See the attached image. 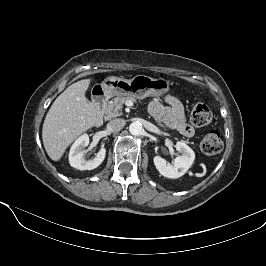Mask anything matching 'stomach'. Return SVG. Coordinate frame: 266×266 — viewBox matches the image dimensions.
<instances>
[{"instance_id": "stomach-1", "label": "stomach", "mask_w": 266, "mask_h": 266, "mask_svg": "<svg viewBox=\"0 0 266 266\" xmlns=\"http://www.w3.org/2000/svg\"><path fill=\"white\" fill-rule=\"evenodd\" d=\"M101 87L108 97L126 95L144 99L166 94L170 90V83L163 78L155 79L146 75H137L130 80L108 77L102 82Z\"/></svg>"}]
</instances>
